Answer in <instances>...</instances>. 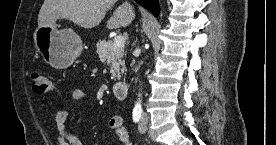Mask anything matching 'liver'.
Masks as SVG:
<instances>
[{"label":"liver","instance_id":"obj_1","mask_svg":"<svg viewBox=\"0 0 276 145\" xmlns=\"http://www.w3.org/2000/svg\"><path fill=\"white\" fill-rule=\"evenodd\" d=\"M115 2L116 0H44L38 15V25L61 18L86 29L94 28L99 25ZM134 16L132 7L127 3L122 4L108 20L107 28L126 27Z\"/></svg>","mask_w":276,"mask_h":145}]
</instances>
